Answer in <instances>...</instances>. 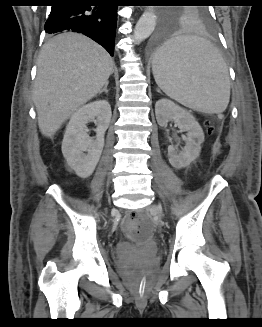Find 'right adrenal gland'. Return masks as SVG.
Here are the masks:
<instances>
[{"instance_id": "obj_1", "label": "right adrenal gland", "mask_w": 262, "mask_h": 327, "mask_svg": "<svg viewBox=\"0 0 262 327\" xmlns=\"http://www.w3.org/2000/svg\"><path fill=\"white\" fill-rule=\"evenodd\" d=\"M107 86H108V83L104 85V88L99 92V95L102 94L103 92L108 94Z\"/></svg>"}]
</instances>
